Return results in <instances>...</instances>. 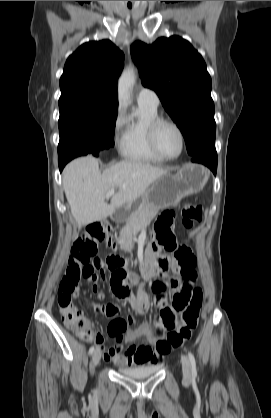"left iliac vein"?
<instances>
[{
  "label": "left iliac vein",
  "instance_id": "left-iliac-vein-1",
  "mask_svg": "<svg viewBox=\"0 0 271 418\" xmlns=\"http://www.w3.org/2000/svg\"><path fill=\"white\" fill-rule=\"evenodd\" d=\"M181 363H182V372H183V377L185 380H189L191 377V364L189 359L185 356L182 355L181 356Z\"/></svg>",
  "mask_w": 271,
  "mask_h": 418
}]
</instances>
